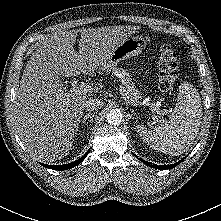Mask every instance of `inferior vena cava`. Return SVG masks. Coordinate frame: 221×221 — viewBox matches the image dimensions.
Wrapping results in <instances>:
<instances>
[{
	"label": "inferior vena cava",
	"mask_w": 221,
	"mask_h": 221,
	"mask_svg": "<svg viewBox=\"0 0 221 221\" xmlns=\"http://www.w3.org/2000/svg\"><path fill=\"white\" fill-rule=\"evenodd\" d=\"M103 101L101 99H89L85 102V109L87 111H96L103 107Z\"/></svg>",
	"instance_id": "obj_1"
}]
</instances>
